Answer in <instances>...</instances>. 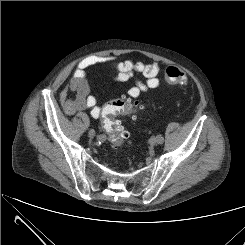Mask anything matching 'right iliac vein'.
Here are the masks:
<instances>
[{
	"label": "right iliac vein",
	"mask_w": 245,
	"mask_h": 245,
	"mask_svg": "<svg viewBox=\"0 0 245 245\" xmlns=\"http://www.w3.org/2000/svg\"><path fill=\"white\" fill-rule=\"evenodd\" d=\"M88 136H89L90 138H94V137H95V132H94L92 129L89 130Z\"/></svg>",
	"instance_id": "obj_1"
}]
</instances>
